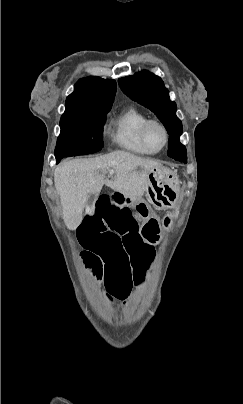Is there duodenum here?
I'll list each match as a JSON object with an SVG mask.
<instances>
[{
	"label": "duodenum",
	"mask_w": 243,
	"mask_h": 404,
	"mask_svg": "<svg viewBox=\"0 0 243 404\" xmlns=\"http://www.w3.org/2000/svg\"><path fill=\"white\" fill-rule=\"evenodd\" d=\"M113 194V198L114 200L121 205H132V203L134 202V199L127 194L124 190L118 189V190H114Z\"/></svg>",
	"instance_id": "obj_1"
}]
</instances>
